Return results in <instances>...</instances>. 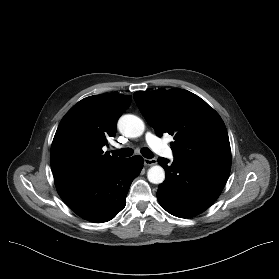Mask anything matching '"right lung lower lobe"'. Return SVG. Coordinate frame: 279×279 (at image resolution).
<instances>
[{"instance_id": "obj_1", "label": "right lung lower lobe", "mask_w": 279, "mask_h": 279, "mask_svg": "<svg viewBox=\"0 0 279 279\" xmlns=\"http://www.w3.org/2000/svg\"><path fill=\"white\" fill-rule=\"evenodd\" d=\"M143 167V158H126L108 170L57 187L58 194L80 217L95 223L114 218L126 205L132 181Z\"/></svg>"}]
</instances>
